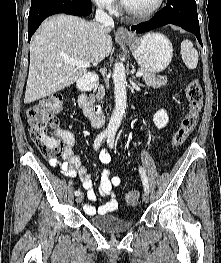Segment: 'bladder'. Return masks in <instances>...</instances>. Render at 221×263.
<instances>
[{"mask_svg": "<svg viewBox=\"0 0 221 263\" xmlns=\"http://www.w3.org/2000/svg\"><path fill=\"white\" fill-rule=\"evenodd\" d=\"M89 222L94 228L106 234L121 233L133 226L132 221L123 220L116 214L92 215Z\"/></svg>", "mask_w": 221, "mask_h": 263, "instance_id": "1", "label": "bladder"}]
</instances>
